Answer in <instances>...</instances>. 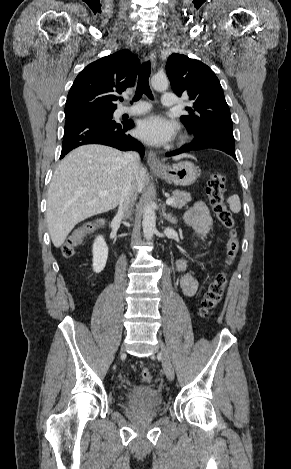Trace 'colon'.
Instances as JSON below:
<instances>
[{"instance_id": "1", "label": "colon", "mask_w": 291, "mask_h": 469, "mask_svg": "<svg viewBox=\"0 0 291 469\" xmlns=\"http://www.w3.org/2000/svg\"><path fill=\"white\" fill-rule=\"evenodd\" d=\"M226 177L222 172H215L207 186V194L209 196L210 205L219 222L228 230V240L226 243V265L230 266L235 260L238 250L239 241L234 227V220L226 207L224 201V187ZM98 226L97 221H89L77 227L67 239L63 246V253L66 257H71L82 240L92 233ZM227 285L226 272L218 273L209 283L201 302L200 314L203 318L211 316L217 305L219 304ZM140 378L143 382L152 380V373L148 368L140 371Z\"/></svg>"}]
</instances>
